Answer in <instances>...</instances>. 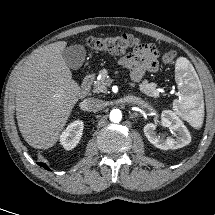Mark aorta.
I'll return each mask as SVG.
<instances>
[{"label": "aorta", "mask_w": 215, "mask_h": 215, "mask_svg": "<svg viewBox=\"0 0 215 215\" xmlns=\"http://www.w3.org/2000/svg\"><path fill=\"white\" fill-rule=\"evenodd\" d=\"M122 119V113L119 109H113L110 112V120L114 123H117L119 121H121Z\"/></svg>", "instance_id": "obj_1"}]
</instances>
